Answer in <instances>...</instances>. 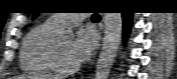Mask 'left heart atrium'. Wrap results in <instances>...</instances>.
<instances>
[{"label": "left heart atrium", "mask_w": 177, "mask_h": 79, "mask_svg": "<svg viewBox=\"0 0 177 79\" xmlns=\"http://www.w3.org/2000/svg\"><path fill=\"white\" fill-rule=\"evenodd\" d=\"M96 44V37L93 31L80 30L71 45V55L76 63L88 59Z\"/></svg>", "instance_id": "obj_1"}]
</instances>
